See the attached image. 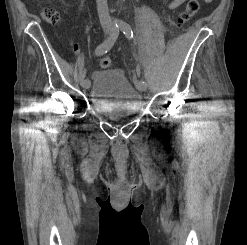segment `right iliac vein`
<instances>
[{"label": "right iliac vein", "mask_w": 247, "mask_h": 245, "mask_svg": "<svg viewBox=\"0 0 247 245\" xmlns=\"http://www.w3.org/2000/svg\"><path fill=\"white\" fill-rule=\"evenodd\" d=\"M103 31H104L105 34H108V33L110 32V29L107 28V27H104V28H103ZM80 85H81L83 88L87 89V88L90 87V81L86 79L85 82H80Z\"/></svg>", "instance_id": "1"}]
</instances>
